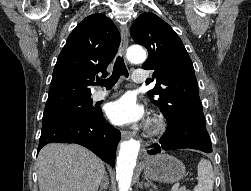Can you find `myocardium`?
Instances as JSON below:
<instances>
[{
  "mask_svg": "<svg viewBox=\"0 0 251 191\" xmlns=\"http://www.w3.org/2000/svg\"><path fill=\"white\" fill-rule=\"evenodd\" d=\"M165 129V123L161 119H152L148 124V134L155 136Z\"/></svg>",
  "mask_w": 251,
  "mask_h": 191,
  "instance_id": "1",
  "label": "myocardium"
}]
</instances>
